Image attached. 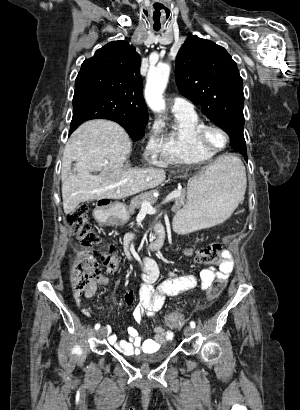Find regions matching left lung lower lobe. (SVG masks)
Returning a JSON list of instances; mask_svg holds the SVG:
<instances>
[{
	"instance_id": "1",
	"label": "left lung lower lobe",
	"mask_w": 300,
	"mask_h": 410,
	"mask_svg": "<svg viewBox=\"0 0 300 410\" xmlns=\"http://www.w3.org/2000/svg\"><path fill=\"white\" fill-rule=\"evenodd\" d=\"M245 158V160L247 161V156L246 157H244Z\"/></svg>"
}]
</instances>
